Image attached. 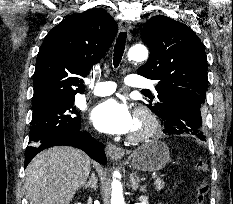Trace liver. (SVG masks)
<instances>
[{
    "mask_svg": "<svg viewBox=\"0 0 233 204\" xmlns=\"http://www.w3.org/2000/svg\"><path fill=\"white\" fill-rule=\"evenodd\" d=\"M90 158L68 146L42 151L25 171L30 204H69L89 176Z\"/></svg>",
    "mask_w": 233,
    "mask_h": 204,
    "instance_id": "6515ba94",
    "label": "liver"
}]
</instances>
